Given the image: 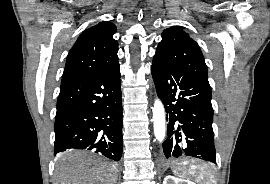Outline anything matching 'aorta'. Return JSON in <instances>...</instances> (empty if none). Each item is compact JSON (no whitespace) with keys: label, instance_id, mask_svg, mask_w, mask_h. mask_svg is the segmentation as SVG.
<instances>
[{"label":"aorta","instance_id":"762f6f07","mask_svg":"<svg viewBox=\"0 0 270 184\" xmlns=\"http://www.w3.org/2000/svg\"><path fill=\"white\" fill-rule=\"evenodd\" d=\"M153 128L155 138L162 142L166 135L165 110L160 100H156L153 107Z\"/></svg>","mask_w":270,"mask_h":184}]
</instances>
